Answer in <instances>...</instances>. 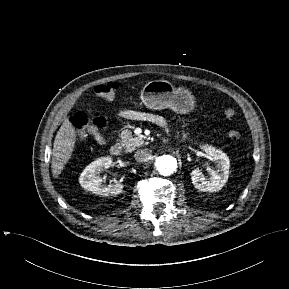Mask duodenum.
Wrapping results in <instances>:
<instances>
[{
    "label": "duodenum",
    "mask_w": 289,
    "mask_h": 289,
    "mask_svg": "<svg viewBox=\"0 0 289 289\" xmlns=\"http://www.w3.org/2000/svg\"><path fill=\"white\" fill-rule=\"evenodd\" d=\"M110 154L115 157L120 156L122 154V147L119 144H113L110 147Z\"/></svg>",
    "instance_id": "obj_1"
}]
</instances>
